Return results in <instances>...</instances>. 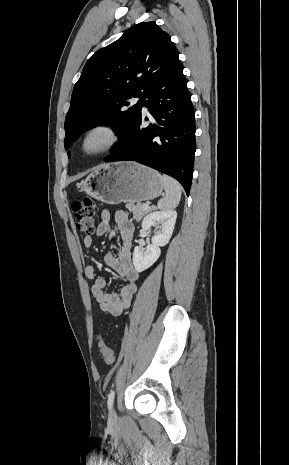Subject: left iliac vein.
Returning <instances> with one entry per match:
<instances>
[{
	"label": "left iliac vein",
	"mask_w": 289,
	"mask_h": 465,
	"mask_svg": "<svg viewBox=\"0 0 289 465\" xmlns=\"http://www.w3.org/2000/svg\"><path fill=\"white\" fill-rule=\"evenodd\" d=\"M116 420H117V415H116L115 409L111 408L110 413H109V421L111 423H114V422H116Z\"/></svg>",
	"instance_id": "4c4485c4"
}]
</instances>
